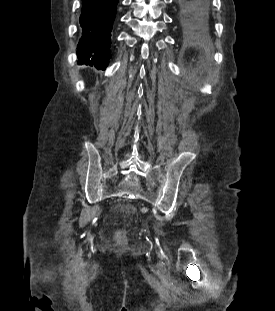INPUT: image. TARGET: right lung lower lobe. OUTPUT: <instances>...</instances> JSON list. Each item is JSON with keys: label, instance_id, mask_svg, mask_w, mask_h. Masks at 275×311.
<instances>
[{"label": "right lung lower lobe", "instance_id": "obj_1", "mask_svg": "<svg viewBox=\"0 0 275 311\" xmlns=\"http://www.w3.org/2000/svg\"><path fill=\"white\" fill-rule=\"evenodd\" d=\"M117 3L118 0H83L82 37L77 48L79 64L102 70L107 67Z\"/></svg>", "mask_w": 275, "mask_h": 311}]
</instances>
